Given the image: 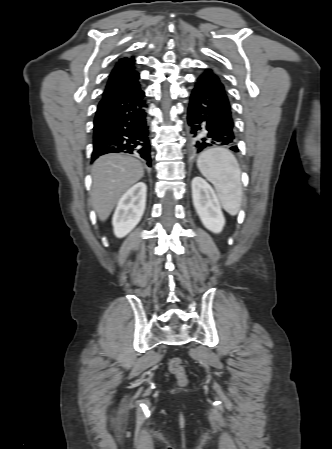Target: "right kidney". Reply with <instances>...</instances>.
<instances>
[{
	"instance_id": "1",
	"label": "right kidney",
	"mask_w": 332,
	"mask_h": 449,
	"mask_svg": "<svg viewBox=\"0 0 332 449\" xmlns=\"http://www.w3.org/2000/svg\"><path fill=\"white\" fill-rule=\"evenodd\" d=\"M146 192V184L138 182L122 195L112 218L116 237L126 236L140 222L145 211Z\"/></svg>"
}]
</instances>
